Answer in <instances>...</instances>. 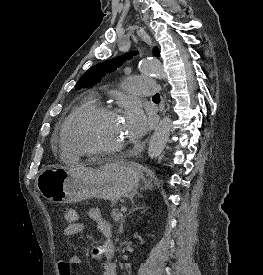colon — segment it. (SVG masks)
I'll return each instance as SVG.
<instances>
[{"label":"colon","mask_w":263,"mask_h":275,"mask_svg":"<svg viewBox=\"0 0 263 275\" xmlns=\"http://www.w3.org/2000/svg\"><path fill=\"white\" fill-rule=\"evenodd\" d=\"M63 217L67 223H75L78 221L77 211L73 208H66L63 212ZM60 275H67L69 273L68 263L60 261Z\"/></svg>","instance_id":"colon-1"}]
</instances>
